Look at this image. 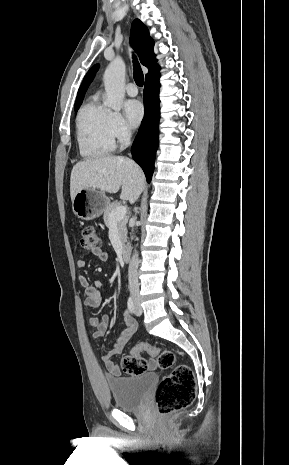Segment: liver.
Listing matches in <instances>:
<instances>
[{
    "label": "liver",
    "mask_w": 289,
    "mask_h": 465,
    "mask_svg": "<svg viewBox=\"0 0 289 465\" xmlns=\"http://www.w3.org/2000/svg\"><path fill=\"white\" fill-rule=\"evenodd\" d=\"M145 183L142 169L133 160L104 156L74 165L70 177V196L73 201L82 189L117 193L121 187L120 198L133 204L142 193Z\"/></svg>",
    "instance_id": "liver-1"
}]
</instances>
